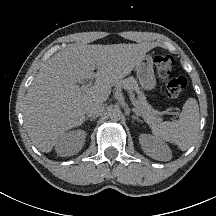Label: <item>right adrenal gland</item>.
<instances>
[{
  "mask_svg": "<svg viewBox=\"0 0 216 216\" xmlns=\"http://www.w3.org/2000/svg\"><path fill=\"white\" fill-rule=\"evenodd\" d=\"M95 121L96 120V117H92V118H89V117H86L85 118V121Z\"/></svg>",
  "mask_w": 216,
  "mask_h": 216,
  "instance_id": "1",
  "label": "right adrenal gland"
}]
</instances>
